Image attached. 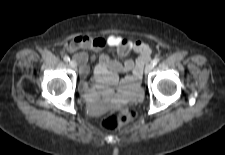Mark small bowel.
<instances>
[{
	"label": "small bowel",
	"instance_id": "c3829d8e",
	"mask_svg": "<svg viewBox=\"0 0 225 155\" xmlns=\"http://www.w3.org/2000/svg\"><path fill=\"white\" fill-rule=\"evenodd\" d=\"M106 46L116 48L120 56H126L133 51L138 54V57L121 64L102 54L94 69L93 85L90 86L86 82L81 84L85 97L94 99L98 95H103L114 101H127L136 97L140 87L142 67L150 59L151 51L147 44L118 35L93 37L81 34L68 42L65 49L69 53H75L74 59L80 65V74L86 78L89 74V57L85 51L98 52ZM91 59H94V56H91ZM123 71L131 72V74L119 81L118 73ZM116 85L120 86L121 93L114 95L111 88Z\"/></svg>",
	"mask_w": 225,
	"mask_h": 155
}]
</instances>
